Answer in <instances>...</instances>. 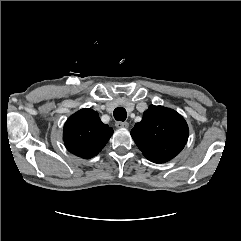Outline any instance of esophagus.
Here are the masks:
<instances>
[{
	"label": "esophagus",
	"mask_w": 241,
	"mask_h": 241,
	"mask_svg": "<svg viewBox=\"0 0 241 241\" xmlns=\"http://www.w3.org/2000/svg\"><path fill=\"white\" fill-rule=\"evenodd\" d=\"M115 126L117 128H128L129 124H128V122L117 121Z\"/></svg>",
	"instance_id": "esophagus-1"
}]
</instances>
